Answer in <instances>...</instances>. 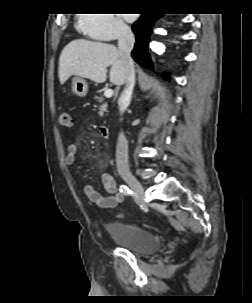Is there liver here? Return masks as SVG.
Returning a JSON list of instances; mask_svg holds the SVG:
<instances>
[{
    "label": "liver",
    "mask_w": 252,
    "mask_h": 303,
    "mask_svg": "<svg viewBox=\"0 0 252 303\" xmlns=\"http://www.w3.org/2000/svg\"><path fill=\"white\" fill-rule=\"evenodd\" d=\"M110 69V82L121 86L126 83L127 70L118 49L111 44L76 39L67 44L59 58L61 84L72 75L103 83Z\"/></svg>",
    "instance_id": "1"
}]
</instances>
